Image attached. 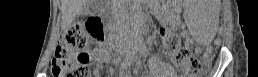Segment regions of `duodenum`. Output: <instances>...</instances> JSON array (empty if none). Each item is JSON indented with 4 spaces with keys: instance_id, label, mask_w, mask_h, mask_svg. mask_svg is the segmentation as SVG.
Returning <instances> with one entry per match:
<instances>
[{
    "instance_id": "obj_1",
    "label": "duodenum",
    "mask_w": 258,
    "mask_h": 77,
    "mask_svg": "<svg viewBox=\"0 0 258 77\" xmlns=\"http://www.w3.org/2000/svg\"><path fill=\"white\" fill-rule=\"evenodd\" d=\"M86 26H87V30H88L89 34L92 36H95L101 25H100V21L98 19H88L86 22ZM103 32H104V30H103Z\"/></svg>"
}]
</instances>
